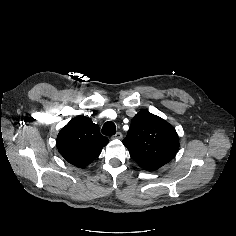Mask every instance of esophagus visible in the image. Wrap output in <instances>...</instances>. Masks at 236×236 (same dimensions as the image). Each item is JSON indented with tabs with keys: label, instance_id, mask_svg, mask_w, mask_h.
I'll return each instance as SVG.
<instances>
[{
	"label": "esophagus",
	"instance_id": "34e87169",
	"mask_svg": "<svg viewBox=\"0 0 236 236\" xmlns=\"http://www.w3.org/2000/svg\"><path fill=\"white\" fill-rule=\"evenodd\" d=\"M123 135L121 132H117L115 135L112 136L113 139H122Z\"/></svg>",
	"mask_w": 236,
	"mask_h": 236
}]
</instances>
